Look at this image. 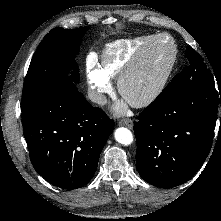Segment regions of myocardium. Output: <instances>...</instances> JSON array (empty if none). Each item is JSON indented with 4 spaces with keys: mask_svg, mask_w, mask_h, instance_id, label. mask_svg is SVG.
Returning <instances> with one entry per match:
<instances>
[{
    "mask_svg": "<svg viewBox=\"0 0 221 221\" xmlns=\"http://www.w3.org/2000/svg\"><path fill=\"white\" fill-rule=\"evenodd\" d=\"M161 40H168L171 47L169 59L155 84L144 95L138 98H131L128 95L129 86L139 77L144 70L149 56L154 46ZM177 59V45L174 39L168 34L156 35L141 51L136 62L127 69L118 80V89L120 94L133 106L141 108L153 103L163 92L173 71Z\"/></svg>",
    "mask_w": 221,
    "mask_h": 221,
    "instance_id": "obj_1",
    "label": "myocardium"
}]
</instances>
